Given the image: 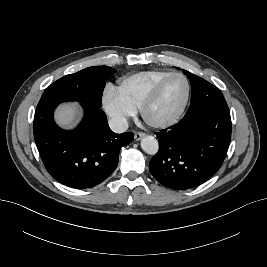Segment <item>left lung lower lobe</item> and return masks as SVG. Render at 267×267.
Masks as SVG:
<instances>
[{
    "label": "left lung lower lobe",
    "instance_id": "obj_1",
    "mask_svg": "<svg viewBox=\"0 0 267 267\" xmlns=\"http://www.w3.org/2000/svg\"><path fill=\"white\" fill-rule=\"evenodd\" d=\"M210 96L191 100L183 119L156 133L159 151L149 170L162 185L174 190L196 187L221 167L231 139L228 106L212 109Z\"/></svg>",
    "mask_w": 267,
    "mask_h": 267
}]
</instances>
